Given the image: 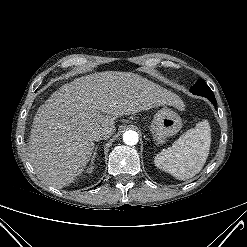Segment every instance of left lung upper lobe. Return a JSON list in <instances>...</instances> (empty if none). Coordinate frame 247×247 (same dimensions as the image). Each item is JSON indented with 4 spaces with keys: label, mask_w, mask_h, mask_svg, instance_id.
<instances>
[{
    "label": "left lung upper lobe",
    "mask_w": 247,
    "mask_h": 247,
    "mask_svg": "<svg viewBox=\"0 0 247 247\" xmlns=\"http://www.w3.org/2000/svg\"><path fill=\"white\" fill-rule=\"evenodd\" d=\"M195 95H200L204 97H213L214 94L209 86L205 83L203 79H199L197 83L192 86L190 90Z\"/></svg>",
    "instance_id": "obj_1"
}]
</instances>
